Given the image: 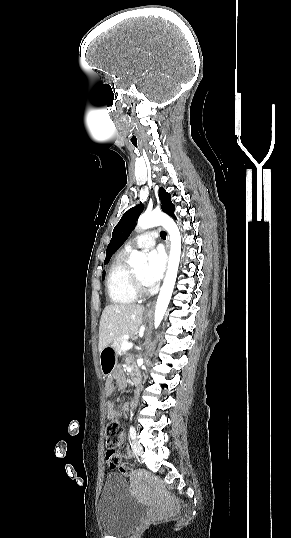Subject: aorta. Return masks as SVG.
Listing matches in <instances>:
<instances>
[{
  "label": "aorta",
  "mask_w": 291,
  "mask_h": 538,
  "mask_svg": "<svg viewBox=\"0 0 291 538\" xmlns=\"http://www.w3.org/2000/svg\"><path fill=\"white\" fill-rule=\"evenodd\" d=\"M162 225L170 236V255H169V261H168V268L166 272V276L164 279V283L161 287L156 308H155V314H154V326L157 328L166 312V309L168 307L169 301L172 296V292L174 289V285L177 278L178 273V267L180 263V256H181V235L180 231L174 222V220L162 213V212H146L139 216L138 218V226L141 229H148L154 226ZM147 258L145 254H142L141 252H136L131 255L130 258V265L133 268L140 269L144 266L146 263Z\"/></svg>",
  "instance_id": "aorta-1"
}]
</instances>
